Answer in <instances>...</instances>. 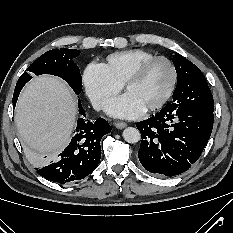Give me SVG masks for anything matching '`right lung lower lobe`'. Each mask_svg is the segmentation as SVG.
Returning <instances> with one entry per match:
<instances>
[{
  "mask_svg": "<svg viewBox=\"0 0 233 233\" xmlns=\"http://www.w3.org/2000/svg\"><path fill=\"white\" fill-rule=\"evenodd\" d=\"M19 88L14 91V107L23 87ZM78 104L82 116L78 119L75 135L70 144L50 164L37 170L39 175L50 181L61 184L77 182L95 170L100 162V140L110 133L111 126L103 118H98L96 121L89 120L80 100Z\"/></svg>",
  "mask_w": 233,
  "mask_h": 233,
  "instance_id": "1",
  "label": "right lung lower lobe"
}]
</instances>
